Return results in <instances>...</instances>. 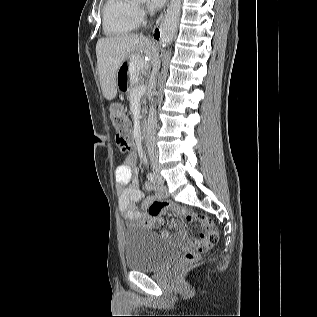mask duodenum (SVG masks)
Returning a JSON list of instances; mask_svg holds the SVG:
<instances>
[{
  "label": "duodenum",
  "instance_id": "1",
  "mask_svg": "<svg viewBox=\"0 0 317 317\" xmlns=\"http://www.w3.org/2000/svg\"><path fill=\"white\" fill-rule=\"evenodd\" d=\"M145 135H146V126L145 125H141L140 131H139V135H138V139L142 141L145 138Z\"/></svg>",
  "mask_w": 317,
  "mask_h": 317
}]
</instances>
